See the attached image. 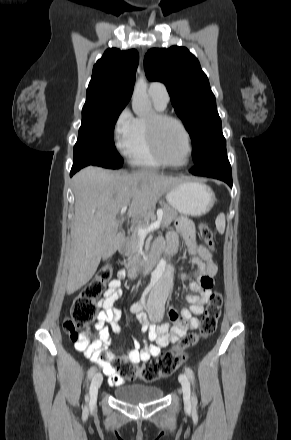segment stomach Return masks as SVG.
I'll return each instance as SVG.
<instances>
[{
	"instance_id": "obj_1",
	"label": "stomach",
	"mask_w": 291,
	"mask_h": 440,
	"mask_svg": "<svg viewBox=\"0 0 291 440\" xmlns=\"http://www.w3.org/2000/svg\"><path fill=\"white\" fill-rule=\"evenodd\" d=\"M166 200L171 207L183 215L202 216L212 209L216 197L208 185L182 180L166 192Z\"/></svg>"
}]
</instances>
